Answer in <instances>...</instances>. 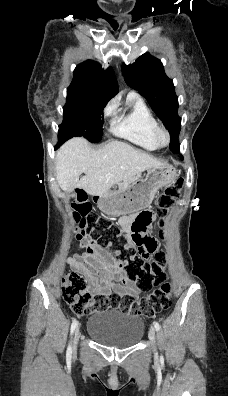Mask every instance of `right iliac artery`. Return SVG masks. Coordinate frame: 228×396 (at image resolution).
Wrapping results in <instances>:
<instances>
[{"mask_svg":"<svg viewBox=\"0 0 228 396\" xmlns=\"http://www.w3.org/2000/svg\"><path fill=\"white\" fill-rule=\"evenodd\" d=\"M77 324H78V321H77V320H74V321L72 322V325H71V333L74 332V330H75ZM71 356H72V347H71V344H69V346H68V348H67V352H66V357H67V358H71Z\"/></svg>","mask_w":228,"mask_h":396,"instance_id":"82829eb1","label":"right iliac artery"}]
</instances>
